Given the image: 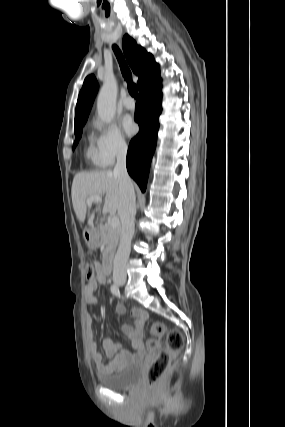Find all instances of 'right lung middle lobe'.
Masks as SVG:
<instances>
[{
	"label": "right lung middle lobe",
	"instance_id": "right-lung-middle-lobe-1",
	"mask_svg": "<svg viewBox=\"0 0 285 427\" xmlns=\"http://www.w3.org/2000/svg\"><path fill=\"white\" fill-rule=\"evenodd\" d=\"M82 127L83 126L75 129V143H74L73 149L75 148L76 144L79 142V139L81 138Z\"/></svg>",
	"mask_w": 285,
	"mask_h": 427
}]
</instances>
